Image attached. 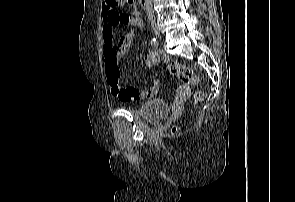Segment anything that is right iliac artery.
<instances>
[{
    "label": "right iliac artery",
    "mask_w": 295,
    "mask_h": 202,
    "mask_svg": "<svg viewBox=\"0 0 295 202\" xmlns=\"http://www.w3.org/2000/svg\"><path fill=\"white\" fill-rule=\"evenodd\" d=\"M151 45H152L153 47L158 46V41H157L156 38H152V40H151Z\"/></svg>",
    "instance_id": "right-iliac-artery-1"
}]
</instances>
